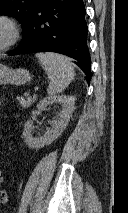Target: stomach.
Returning a JSON list of instances; mask_svg holds the SVG:
<instances>
[{
    "label": "stomach",
    "instance_id": "1",
    "mask_svg": "<svg viewBox=\"0 0 128 213\" xmlns=\"http://www.w3.org/2000/svg\"><path fill=\"white\" fill-rule=\"evenodd\" d=\"M31 80V74L27 69H12L0 63V85H22Z\"/></svg>",
    "mask_w": 128,
    "mask_h": 213
}]
</instances>
